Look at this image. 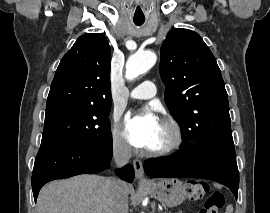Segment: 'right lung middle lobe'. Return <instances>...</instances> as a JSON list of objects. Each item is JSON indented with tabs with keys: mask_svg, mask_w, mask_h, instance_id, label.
<instances>
[{
	"mask_svg": "<svg viewBox=\"0 0 270 213\" xmlns=\"http://www.w3.org/2000/svg\"><path fill=\"white\" fill-rule=\"evenodd\" d=\"M111 106L60 104L46 108L41 145L98 142L111 136Z\"/></svg>",
	"mask_w": 270,
	"mask_h": 213,
	"instance_id": "obj_1",
	"label": "right lung middle lobe"
}]
</instances>
